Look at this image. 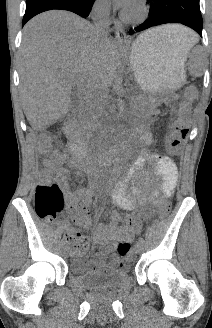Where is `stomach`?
<instances>
[{"label": "stomach", "instance_id": "1", "mask_svg": "<svg viewBox=\"0 0 212 328\" xmlns=\"http://www.w3.org/2000/svg\"><path fill=\"white\" fill-rule=\"evenodd\" d=\"M183 49L165 39L143 35L132 45L130 66L145 92L179 86L185 80Z\"/></svg>", "mask_w": 212, "mask_h": 328}]
</instances>
